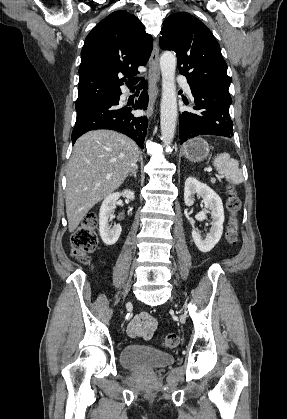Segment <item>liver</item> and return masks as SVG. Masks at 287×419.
I'll return each instance as SVG.
<instances>
[{"label": "liver", "instance_id": "obj_1", "mask_svg": "<svg viewBox=\"0 0 287 419\" xmlns=\"http://www.w3.org/2000/svg\"><path fill=\"white\" fill-rule=\"evenodd\" d=\"M138 156L137 144L112 130L90 131L76 141L66 173L69 232H74L95 204L121 186Z\"/></svg>", "mask_w": 287, "mask_h": 419}]
</instances>
